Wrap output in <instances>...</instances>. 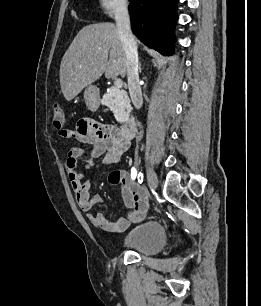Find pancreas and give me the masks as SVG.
<instances>
[{
	"label": "pancreas",
	"mask_w": 261,
	"mask_h": 306,
	"mask_svg": "<svg viewBox=\"0 0 261 306\" xmlns=\"http://www.w3.org/2000/svg\"><path fill=\"white\" fill-rule=\"evenodd\" d=\"M102 103L109 107L114 113L117 122L123 123L128 119L131 106L126 91L111 87L110 90L104 94Z\"/></svg>",
	"instance_id": "pancreas-1"
}]
</instances>
